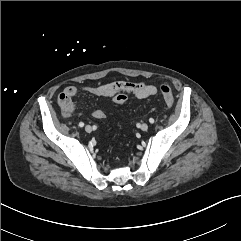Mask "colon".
Returning a JSON list of instances; mask_svg holds the SVG:
<instances>
[{
    "instance_id": "5ec220e1",
    "label": "colon",
    "mask_w": 241,
    "mask_h": 241,
    "mask_svg": "<svg viewBox=\"0 0 241 241\" xmlns=\"http://www.w3.org/2000/svg\"><path fill=\"white\" fill-rule=\"evenodd\" d=\"M160 92L162 94L163 100L165 104L169 107H171L174 103V96L169 86L167 85H161L160 86ZM113 100L117 104H123L127 100V95L124 92L117 93Z\"/></svg>"
}]
</instances>
